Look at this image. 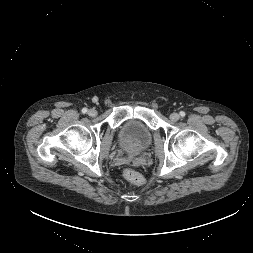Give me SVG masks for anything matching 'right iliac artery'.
<instances>
[{
	"label": "right iliac artery",
	"instance_id": "obj_1",
	"mask_svg": "<svg viewBox=\"0 0 253 253\" xmlns=\"http://www.w3.org/2000/svg\"><path fill=\"white\" fill-rule=\"evenodd\" d=\"M82 113H83V114L87 113V108H83V109H82Z\"/></svg>",
	"mask_w": 253,
	"mask_h": 253
}]
</instances>
